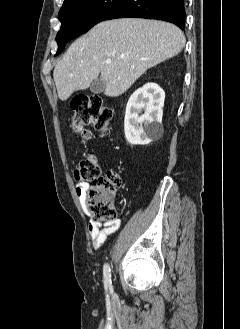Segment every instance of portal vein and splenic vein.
Masks as SVG:
<instances>
[{
  "instance_id": "1",
  "label": "portal vein and splenic vein",
  "mask_w": 240,
  "mask_h": 329,
  "mask_svg": "<svg viewBox=\"0 0 240 329\" xmlns=\"http://www.w3.org/2000/svg\"><path fill=\"white\" fill-rule=\"evenodd\" d=\"M106 63H107V64H110V63H111V60H107Z\"/></svg>"
}]
</instances>
